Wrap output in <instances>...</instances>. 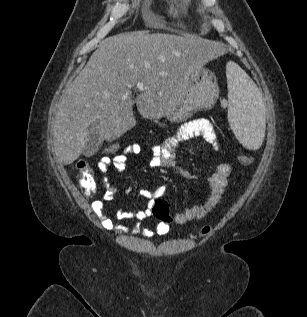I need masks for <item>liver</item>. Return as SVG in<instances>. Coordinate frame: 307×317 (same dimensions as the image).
<instances>
[{"mask_svg": "<svg viewBox=\"0 0 307 317\" xmlns=\"http://www.w3.org/2000/svg\"><path fill=\"white\" fill-rule=\"evenodd\" d=\"M225 48L195 35L137 31L101 41L79 75L66 86L54 120V150L73 163L82 154L89 128L112 141L136 124L133 105L143 118L158 119L179 104L191 75L210 59L221 61ZM142 82L133 101L131 89Z\"/></svg>", "mask_w": 307, "mask_h": 317, "instance_id": "6515ba94", "label": "liver"}]
</instances>
